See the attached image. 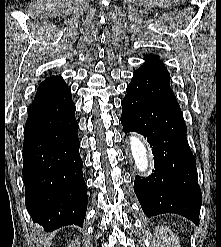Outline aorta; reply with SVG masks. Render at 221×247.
<instances>
[{
  "mask_svg": "<svg viewBox=\"0 0 221 247\" xmlns=\"http://www.w3.org/2000/svg\"><path fill=\"white\" fill-rule=\"evenodd\" d=\"M129 144L137 169L141 173L145 172L149 166L148 151L145 144L136 136L129 138Z\"/></svg>",
  "mask_w": 221,
  "mask_h": 247,
  "instance_id": "762f6f07",
  "label": "aorta"
}]
</instances>
